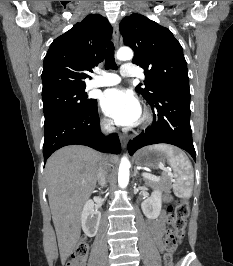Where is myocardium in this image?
Returning a JSON list of instances; mask_svg holds the SVG:
<instances>
[{"label": "myocardium", "instance_id": "1", "mask_svg": "<svg viewBox=\"0 0 233 266\" xmlns=\"http://www.w3.org/2000/svg\"><path fill=\"white\" fill-rule=\"evenodd\" d=\"M151 121H152V114L147 108H145L142 113L140 124L142 127H146L147 125L150 124Z\"/></svg>", "mask_w": 233, "mask_h": 266}]
</instances>
